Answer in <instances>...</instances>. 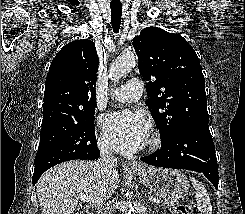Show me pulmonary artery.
<instances>
[{
    "mask_svg": "<svg viewBox=\"0 0 245 214\" xmlns=\"http://www.w3.org/2000/svg\"><path fill=\"white\" fill-rule=\"evenodd\" d=\"M144 82L141 79H130L126 84L117 88L113 93V99L118 102H134L144 91Z\"/></svg>",
    "mask_w": 245,
    "mask_h": 214,
    "instance_id": "1",
    "label": "pulmonary artery"
}]
</instances>
